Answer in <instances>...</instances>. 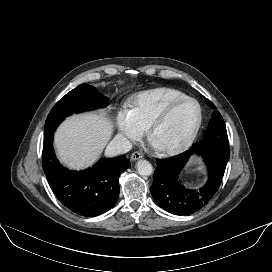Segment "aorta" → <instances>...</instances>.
Here are the masks:
<instances>
[{
    "label": "aorta",
    "mask_w": 272,
    "mask_h": 272,
    "mask_svg": "<svg viewBox=\"0 0 272 272\" xmlns=\"http://www.w3.org/2000/svg\"><path fill=\"white\" fill-rule=\"evenodd\" d=\"M136 170L142 176H149L153 172V167L147 160H139L136 164Z\"/></svg>",
    "instance_id": "1"
}]
</instances>
